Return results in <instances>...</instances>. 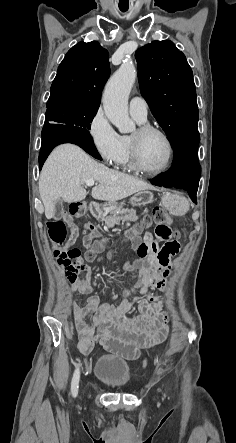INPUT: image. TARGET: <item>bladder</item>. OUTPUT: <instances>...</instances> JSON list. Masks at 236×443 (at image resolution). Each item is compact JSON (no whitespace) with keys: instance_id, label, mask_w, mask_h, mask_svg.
I'll use <instances>...</instances> for the list:
<instances>
[{"instance_id":"31cf9c89","label":"bladder","mask_w":236,"mask_h":443,"mask_svg":"<svg viewBox=\"0 0 236 443\" xmlns=\"http://www.w3.org/2000/svg\"><path fill=\"white\" fill-rule=\"evenodd\" d=\"M96 378L111 388L124 386L130 378L127 363L119 357L102 355L95 365Z\"/></svg>"}]
</instances>
